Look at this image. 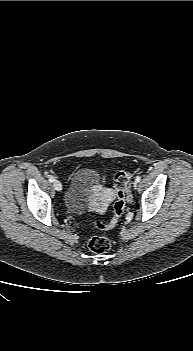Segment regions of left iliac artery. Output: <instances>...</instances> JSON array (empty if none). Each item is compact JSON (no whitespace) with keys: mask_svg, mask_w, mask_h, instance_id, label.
Returning <instances> with one entry per match:
<instances>
[{"mask_svg":"<svg viewBox=\"0 0 193 351\" xmlns=\"http://www.w3.org/2000/svg\"><path fill=\"white\" fill-rule=\"evenodd\" d=\"M140 180H141V176H137L136 178H135V181L138 183V182H140Z\"/></svg>","mask_w":193,"mask_h":351,"instance_id":"left-iliac-artery-1","label":"left iliac artery"}]
</instances>
